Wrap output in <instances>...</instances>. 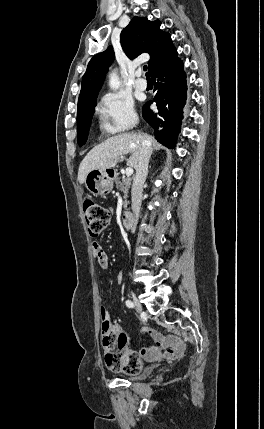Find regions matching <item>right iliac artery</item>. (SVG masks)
Listing matches in <instances>:
<instances>
[{
  "mask_svg": "<svg viewBox=\"0 0 264 429\" xmlns=\"http://www.w3.org/2000/svg\"><path fill=\"white\" fill-rule=\"evenodd\" d=\"M126 306L129 307V308H134V303L132 301H130V300H127L126 301Z\"/></svg>",
  "mask_w": 264,
  "mask_h": 429,
  "instance_id": "82829eb1",
  "label": "right iliac artery"
}]
</instances>
